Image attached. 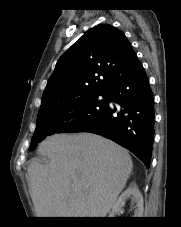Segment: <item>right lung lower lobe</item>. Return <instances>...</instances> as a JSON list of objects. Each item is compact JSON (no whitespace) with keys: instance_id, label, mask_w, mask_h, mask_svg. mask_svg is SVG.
Instances as JSON below:
<instances>
[{"instance_id":"obj_1","label":"right lung lower lobe","mask_w":181,"mask_h":227,"mask_svg":"<svg viewBox=\"0 0 181 227\" xmlns=\"http://www.w3.org/2000/svg\"><path fill=\"white\" fill-rule=\"evenodd\" d=\"M109 102L118 103L117 111L106 110L81 132H92L109 138L129 149L148 167L154 137V99L148 78L137 57H133L126 71L108 89Z\"/></svg>"}]
</instances>
